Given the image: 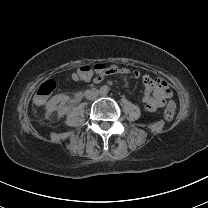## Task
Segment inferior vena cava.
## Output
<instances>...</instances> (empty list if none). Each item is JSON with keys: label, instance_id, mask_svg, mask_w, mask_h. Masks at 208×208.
Here are the masks:
<instances>
[{"label": "inferior vena cava", "instance_id": "602c4592", "mask_svg": "<svg viewBox=\"0 0 208 208\" xmlns=\"http://www.w3.org/2000/svg\"><path fill=\"white\" fill-rule=\"evenodd\" d=\"M85 97L90 100H94L97 98V92L93 90H88L85 94Z\"/></svg>", "mask_w": 208, "mask_h": 208}]
</instances>
